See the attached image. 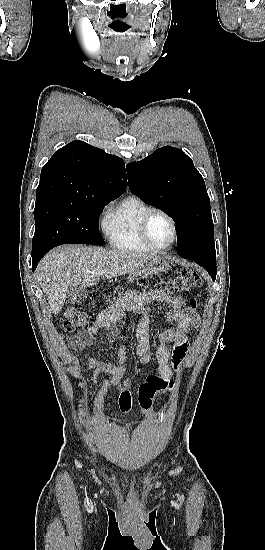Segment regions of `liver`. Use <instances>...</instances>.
<instances>
[{
    "instance_id": "liver-1",
    "label": "liver",
    "mask_w": 265,
    "mask_h": 550,
    "mask_svg": "<svg viewBox=\"0 0 265 550\" xmlns=\"http://www.w3.org/2000/svg\"><path fill=\"white\" fill-rule=\"evenodd\" d=\"M150 255L108 251L97 246L63 245L48 253L38 265L37 276L52 313L58 314L69 286L90 287L100 276L111 279L132 274ZM103 271L104 274L99 273Z\"/></svg>"
}]
</instances>
